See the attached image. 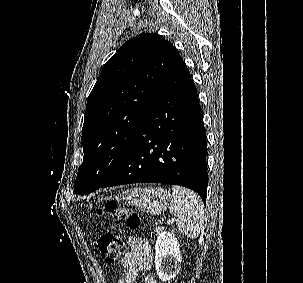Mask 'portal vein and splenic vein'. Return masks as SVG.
<instances>
[{
    "label": "portal vein and splenic vein",
    "mask_w": 303,
    "mask_h": 283,
    "mask_svg": "<svg viewBox=\"0 0 303 283\" xmlns=\"http://www.w3.org/2000/svg\"><path fill=\"white\" fill-rule=\"evenodd\" d=\"M173 220H174V219L172 218V219H169L167 222H168V223H171Z\"/></svg>",
    "instance_id": "18ae733b"
}]
</instances>
